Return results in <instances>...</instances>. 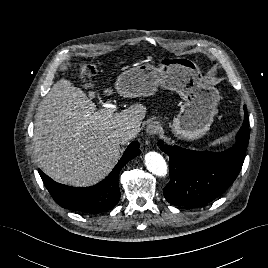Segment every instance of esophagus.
Instances as JSON below:
<instances>
[{"instance_id":"34e87169","label":"esophagus","mask_w":268,"mask_h":268,"mask_svg":"<svg viewBox=\"0 0 268 268\" xmlns=\"http://www.w3.org/2000/svg\"><path fill=\"white\" fill-rule=\"evenodd\" d=\"M160 124L157 121L151 122L146 127V133L148 136H154L160 130Z\"/></svg>"}]
</instances>
